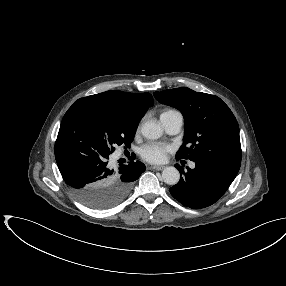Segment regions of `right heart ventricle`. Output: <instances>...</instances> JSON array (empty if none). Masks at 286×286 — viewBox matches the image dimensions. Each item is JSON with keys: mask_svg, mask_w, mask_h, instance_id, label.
<instances>
[{"mask_svg": "<svg viewBox=\"0 0 286 286\" xmlns=\"http://www.w3.org/2000/svg\"><path fill=\"white\" fill-rule=\"evenodd\" d=\"M174 112H178V111L173 110V109H166V110H164V111L161 113L160 118L162 119L163 117L168 116V115H170V114H172V113H174Z\"/></svg>", "mask_w": 286, "mask_h": 286, "instance_id": "e07e8e85", "label": "right heart ventricle"}]
</instances>
